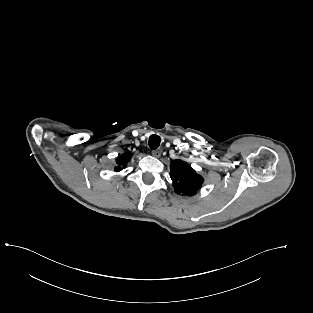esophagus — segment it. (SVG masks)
Wrapping results in <instances>:
<instances>
[{
	"instance_id": "esophagus-1",
	"label": "esophagus",
	"mask_w": 313,
	"mask_h": 313,
	"mask_svg": "<svg viewBox=\"0 0 313 313\" xmlns=\"http://www.w3.org/2000/svg\"><path fill=\"white\" fill-rule=\"evenodd\" d=\"M152 155L154 156V157H160V155H161V150L160 149H157V150H153L152 151Z\"/></svg>"
}]
</instances>
